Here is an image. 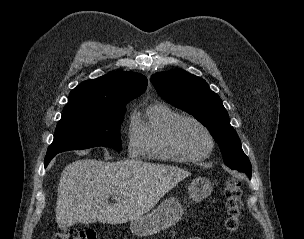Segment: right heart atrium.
Returning <instances> with one entry per match:
<instances>
[{"label": "right heart atrium", "mask_w": 304, "mask_h": 239, "mask_svg": "<svg viewBox=\"0 0 304 239\" xmlns=\"http://www.w3.org/2000/svg\"><path fill=\"white\" fill-rule=\"evenodd\" d=\"M127 148L130 154H138L141 149V139L135 123L131 120L126 131Z\"/></svg>", "instance_id": "obj_1"}]
</instances>
